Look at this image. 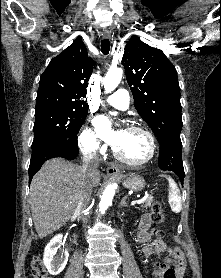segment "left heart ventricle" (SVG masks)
Masks as SVG:
<instances>
[{"instance_id": "left-heart-ventricle-1", "label": "left heart ventricle", "mask_w": 221, "mask_h": 278, "mask_svg": "<svg viewBox=\"0 0 221 278\" xmlns=\"http://www.w3.org/2000/svg\"><path fill=\"white\" fill-rule=\"evenodd\" d=\"M116 149L125 158L139 161L148 156L149 141L143 133L125 131L124 139Z\"/></svg>"}]
</instances>
